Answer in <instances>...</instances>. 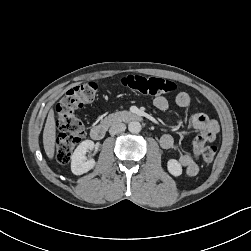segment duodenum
<instances>
[{
    "label": "duodenum",
    "mask_w": 251,
    "mask_h": 251,
    "mask_svg": "<svg viewBox=\"0 0 251 251\" xmlns=\"http://www.w3.org/2000/svg\"><path fill=\"white\" fill-rule=\"evenodd\" d=\"M142 117L134 112L124 111L120 113L116 118H114L111 123L116 122H139ZM107 131V125L101 124L93 126L90 130V136L94 140H101L104 138Z\"/></svg>",
    "instance_id": "1"
}]
</instances>
